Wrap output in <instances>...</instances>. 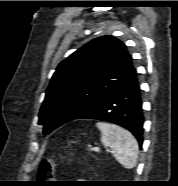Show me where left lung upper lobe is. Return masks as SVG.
<instances>
[{
	"mask_svg": "<svg viewBox=\"0 0 178 186\" xmlns=\"http://www.w3.org/2000/svg\"><path fill=\"white\" fill-rule=\"evenodd\" d=\"M136 73L126 46L111 36L93 39L63 60L52 76L39 113L49 134L72 121Z\"/></svg>",
	"mask_w": 178,
	"mask_h": 186,
	"instance_id": "left-lung-upper-lobe-1",
	"label": "left lung upper lobe"
}]
</instances>
